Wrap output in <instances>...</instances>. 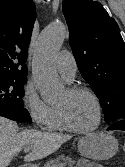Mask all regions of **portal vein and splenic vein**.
I'll list each match as a JSON object with an SVG mask.
<instances>
[{
	"instance_id": "portal-vein-and-splenic-vein-1",
	"label": "portal vein and splenic vein",
	"mask_w": 125,
	"mask_h": 167,
	"mask_svg": "<svg viewBox=\"0 0 125 167\" xmlns=\"http://www.w3.org/2000/svg\"><path fill=\"white\" fill-rule=\"evenodd\" d=\"M31 150V147H25L24 148V152H29ZM66 164L65 163H60L59 165H57L56 167H65Z\"/></svg>"
}]
</instances>
